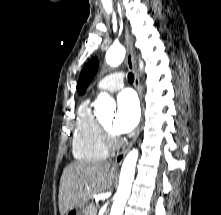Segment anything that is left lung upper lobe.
<instances>
[{"mask_svg": "<svg viewBox=\"0 0 221 215\" xmlns=\"http://www.w3.org/2000/svg\"><path fill=\"white\" fill-rule=\"evenodd\" d=\"M98 69V59L92 58L82 69L80 77H79V84L77 86L78 93L84 94L86 88L92 81L93 77L95 76Z\"/></svg>", "mask_w": 221, "mask_h": 215, "instance_id": "5c2ea615", "label": "left lung upper lobe"}]
</instances>
